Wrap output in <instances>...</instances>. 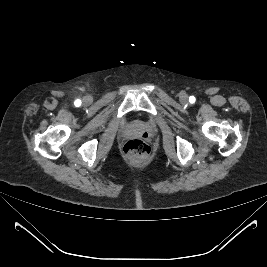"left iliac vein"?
Here are the masks:
<instances>
[{"label":"left iliac vein","instance_id":"left-iliac-vein-1","mask_svg":"<svg viewBox=\"0 0 267 267\" xmlns=\"http://www.w3.org/2000/svg\"><path fill=\"white\" fill-rule=\"evenodd\" d=\"M180 101L183 104H186L188 102V96L185 93L180 94Z\"/></svg>","mask_w":267,"mask_h":267}]
</instances>
